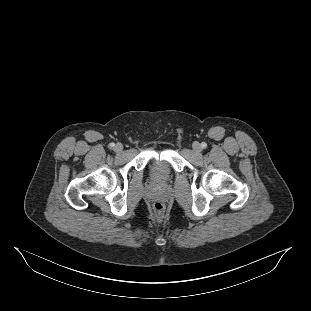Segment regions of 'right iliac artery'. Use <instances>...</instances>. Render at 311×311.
Wrapping results in <instances>:
<instances>
[{
    "instance_id": "obj_1",
    "label": "right iliac artery",
    "mask_w": 311,
    "mask_h": 311,
    "mask_svg": "<svg viewBox=\"0 0 311 311\" xmlns=\"http://www.w3.org/2000/svg\"><path fill=\"white\" fill-rule=\"evenodd\" d=\"M114 146H115L114 143H110V144H109V148H113Z\"/></svg>"
}]
</instances>
